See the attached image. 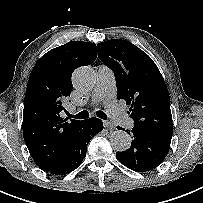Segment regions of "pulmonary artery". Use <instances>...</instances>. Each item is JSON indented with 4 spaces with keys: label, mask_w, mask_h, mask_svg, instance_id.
Masks as SVG:
<instances>
[{
    "label": "pulmonary artery",
    "mask_w": 203,
    "mask_h": 203,
    "mask_svg": "<svg viewBox=\"0 0 203 203\" xmlns=\"http://www.w3.org/2000/svg\"><path fill=\"white\" fill-rule=\"evenodd\" d=\"M97 83L93 91V103L102 102L108 112V114L115 120L120 126L130 129L134 125V121L122 109L118 106L115 92L116 82L113 71L105 66L101 65L97 70Z\"/></svg>",
    "instance_id": "1"
}]
</instances>
